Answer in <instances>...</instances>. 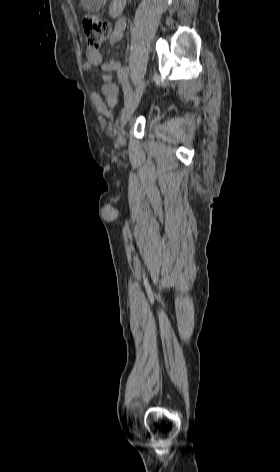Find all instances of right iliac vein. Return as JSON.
<instances>
[{"mask_svg":"<svg viewBox=\"0 0 280 472\" xmlns=\"http://www.w3.org/2000/svg\"><path fill=\"white\" fill-rule=\"evenodd\" d=\"M144 89H145V82L142 81L139 83V85L136 88L135 93L131 96L130 100L126 103L124 109L122 110L119 134H118V141L122 145L126 143L125 137H124V134H125L124 127L127 124V122L130 120L136 108L138 107V104L140 102Z\"/></svg>","mask_w":280,"mask_h":472,"instance_id":"1","label":"right iliac vein"}]
</instances>
